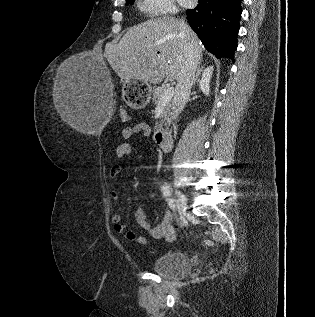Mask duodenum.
<instances>
[{
  "label": "duodenum",
  "mask_w": 315,
  "mask_h": 317,
  "mask_svg": "<svg viewBox=\"0 0 315 317\" xmlns=\"http://www.w3.org/2000/svg\"><path fill=\"white\" fill-rule=\"evenodd\" d=\"M155 141L158 146L164 151H169L172 147V137L165 130H157L154 135Z\"/></svg>",
  "instance_id": "duodenum-1"
}]
</instances>
